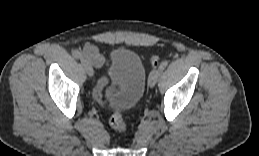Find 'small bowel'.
<instances>
[{
  "instance_id": "obj_1",
  "label": "small bowel",
  "mask_w": 259,
  "mask_h": 156,
  "mask_svg": "<svg viewBox=\"0 0 259 156\" xmlns=\"http://www.w3.org/2000/svg\"><path fill=\"white\" fill-rule=\"evenodd\" d=\"M83 53L86 56L89 63L92 64L94 67H102V66L108 65V60L103 55H101L97 47L92 44H88L84 46ZM106 84H107V79L103 77L99 81L94 91V95L99 102H103L102 90Z\"/></svg>"
}]
</instances>
